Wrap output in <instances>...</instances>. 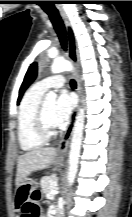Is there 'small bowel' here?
Returning <instances> with one entry per match:
<instances>
[{"label": "small bowel", "mask_w": 132, "mask_h": 217, "mask_svg": "<svg viewBox=\"0 0 132 217\" xmlns=\"http://www.w3.org/2000/svg\"><path fill=\"white\" fill-rule=\"evenodd\" d=\"M18 208L21 212V217H31L30 214L26 211V199L25 198H19L18 199Z\"/></svg>", "instance_id": "1"}]
</instances>
